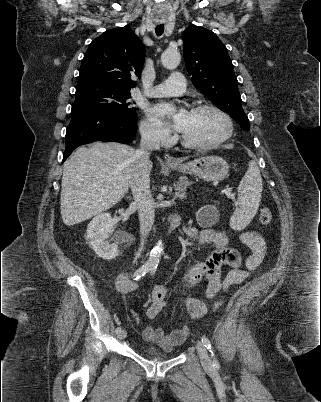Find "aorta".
<instances>
[{
	"mask_svg": "<svg viewBox=\"0 0 321 402\" xmlns=\"http://www.w3.org/2000/svg\"><path fill=\"white\" fill-rule=\"evenodd\" d=\"M181 57L177 50H166L161 55L162 65L169 69H175L180 63ZM163 252V244L161 241L151 250L147 265L151 270H155L159 264L161 254Z\"/></svg>",
	"mask_w": 321,
	"mask_h": 402,
	"instance_id": "762f6f07",
	"label": "aorta"
}]
</instances>
